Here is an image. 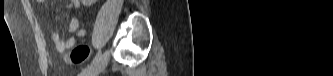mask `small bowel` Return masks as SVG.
Segmentation results:
<instances>
[{
    "instance_id": "obj_1",
    "label": "small bowel",
    "mask_w": 333,
    "mask_h": 76,
    "mask_svg": "<svg viewBox=\"0 0 333 76\" xmlns=\"http://www.w3.org/2000/svg\"><path fill=\"white\" fill-rule=\"evenodd\" d=\"M72 4L77 9L79 8L81 1L72 0ZM55 28L56 30L52 34V39L58 52H65L70 49L76 44L78 39L83 38L86 34L85 30L80 28L79 19L76 14L71 18L68 25L69 38H63L57 24H55Z\"/></svg>"
}]
</instances>
